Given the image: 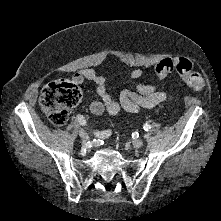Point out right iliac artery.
Masks as SVG:
<instances>
[{"mask_svg": "<svg viewBox=\"0 0 221 221\" xmlns=\"http://www.w3.org/2000/svg\"><path fill=\"white\" fill-rule=\"evenodd\" d=\"M77 120L81 125H86V120L84 119V117L82 115H77ZM112 128V127H111ZM93 132V131H92ZM111 129H106V131L103 132V130H98L97 132H95V137L100 138L102 140H106L109 137V134H111Z\"/></svg>", "mask_w": 221, "mask_h": 221, "instance_id": "1", "label": "right iliac artery"}]
</instances>
